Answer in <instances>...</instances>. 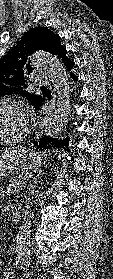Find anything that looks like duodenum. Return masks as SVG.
<instances>
[{
    "label": "duodenum",
    "instance_id": "obj_1",
    "mask_svg": "<svg viewBox=\"0 0 113 279\" xmlns=\"http://www.w3.org/2000/svg\"><path fill=\"white\" fill-rule=\"evenodd\" d=\"M21 217V207L16 206L13 210V219L17 221Z\"/></svg>",
    "mask_w": 113,
    "mask_h": 279
}]
</instances>
